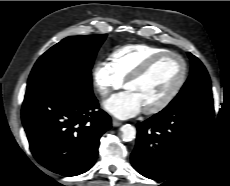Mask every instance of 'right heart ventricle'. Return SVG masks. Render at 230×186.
I'll use <instances>...</instances> for the list:
<instances>
[{
  "label": "right heart ventricle",
  "instance_id": "right-heart-ventricle-1",
  "mask_svg": "<svg viewBox=\"0 0 230 186\" xmlns=\"http://www.w3.org/2000/svg\"><path fill=\"white\" fill-rule=\"evenodd\" d=\"M168 51L149 44H128L110 54V64L117 76L125 81L152 56Z\"/></svg>",
  "mask_w": 230,
  "mask_h": 186
}]
</instances>
